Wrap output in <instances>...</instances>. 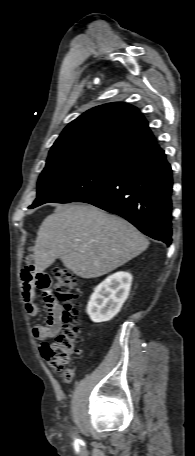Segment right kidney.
Returning <instances> with one entry per match:
<instances>
[{"label": "right kidney", "mask_w": 195, "mask_h": 456, "mask_svg": "<svg viewBox=\"0 0 195 456\" xmlns=\"http://www.w3.org/2000/svg\"><path fill=\"white\" fill-rule=\"evenodd\" d=\"M132 275L117 272L108 276L95 289L87 305V314L95 323L107 322L118 314L129 296Z\"/></svg>", "instance_id": "right-kidney-1"}]
</instances>
